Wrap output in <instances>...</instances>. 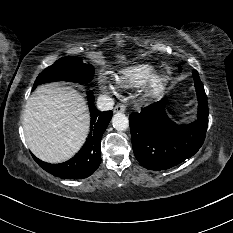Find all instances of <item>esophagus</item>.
Here are the masks:
<instances>
[{"label":"esophagus","instance_id":"1","mask_svg":"<svg viewBox=\"0 0 233 233\" xmlns=\"http://www.w3.org/2000/svg\"><path fill=\"white\" fill-rule=\"evenodd\" d=\"M125 112V105L122 103H118L114 108V113H124Z\"/></svg>","mask_w":233,"mask_h":233}]
</instances>
